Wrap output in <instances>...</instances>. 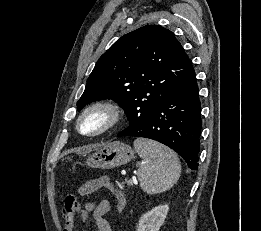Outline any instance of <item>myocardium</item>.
Listing matches in <instances>:
<instances>
[{
	"mask_svg": "<svg viewBox=\"0 0 261 231\" xmlns=\"http://www.w3.org/2000/svg\"><path fill=\"white\" fill-rule=\"evenodd\" d=\"M92 111H102L107 116L106 123L98 130L90 133H85L80 129V123L82 119ZM124 116V111L121 105L112 100H99L87 105L78 115L75 129L76 131L85 137L99 136L114 127H116Z\"/></svg>",
	"mask_w": 261,
	"mask_h": 231,
	"instance_id": "obj_1",
	"label": "myocardium"
}]
</instances>
